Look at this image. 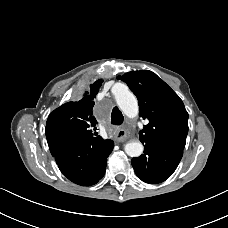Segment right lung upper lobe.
<instances>
[{
    "instance_id": "cb5924a9",
    "label": "right lung upper lobe",
    "mask_w": 228,
    "mask_h": 228,
    "mask_svg": "<svg viewBox=\"0 0 228 228\" xmlns=\"http://www.w3.org/2000/svg\"><path fill=\"white\" fill-rule=\"evenodd\" d=\"M102 82L91 84L79 101L67 102L50 113L45 128L49 146L81 138L103 139L93 131L97 121L92 111Z\"/></svg>"
}]
</instances>
